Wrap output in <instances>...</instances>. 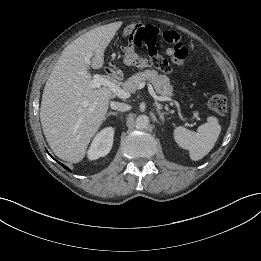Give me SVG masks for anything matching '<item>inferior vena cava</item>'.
Masks as SVG:
<instances>
[{
	"label": "inferior vena cava",
	"instance_id": "obj_1",
	"mask_svg": "<svg viewBox=\"0 0 261 261\" xmlns=\"http://www.w3.org/2000/svg\"><path fill=\"white\" fill-rule=\"evenodd\" d=\"M110 107L121 112L129 110V105L120 102H111Z\"/></svg>",
	"mask_w": 261,
	"mask_h": 261
}]
</instances>
